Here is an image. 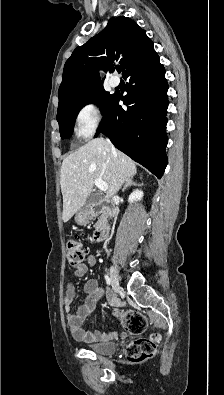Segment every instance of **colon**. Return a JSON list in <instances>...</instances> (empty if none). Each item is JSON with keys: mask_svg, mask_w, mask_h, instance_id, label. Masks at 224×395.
<instances>
[{"mask_svg": "<svg viewBox=\"0 0 224 395\" xmlns=\"http://www.w3.org/2000/svg\"><path fill=\"white\" fill-rule=\"evenodd\" d=\"M66 259L71 266L80 265L85 258V248L79 239H71L65 247ZM123 328L131 334H142L146 329L145 316L134 310H121L117 313ZM159 336L154 334L148 338H141L131 343L126 350L129 361L144 362L153 358L157 352Z\"/></svg>", "mask_w": 224, "mask_h": 395, "instance_id": "5ec220e1", "label": "colon"}]
</instances>
